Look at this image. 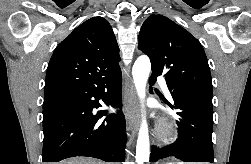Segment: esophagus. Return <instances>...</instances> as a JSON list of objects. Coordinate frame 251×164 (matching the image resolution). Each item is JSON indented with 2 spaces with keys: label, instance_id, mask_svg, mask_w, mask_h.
Returning <instances> with one entry per match:
<instances>
[{
  "label": "esophagus",
  "instance_id": "esophagus-1",
  "mask_svg": "<svg viewBox=\"0 0 251 164\" xmlns=\"http://www.w3.org/2000/svg\"><path fill=\"white\" fill-rule=\"evenodd\" d=\"M125 98H126L127 122L132 132L136 133L138 130V124H139V112H138L136 95H135L133 87L130 88Z\"/></svg>",
  "mask_w": 251,
  "mask_h": 164
}]
</instances>
